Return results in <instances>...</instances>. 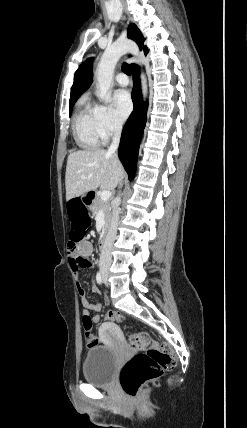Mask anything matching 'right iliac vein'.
Masks as SVG:
<instances>
[{"instance_id": "63e3f726", "label": "right iliac vein", "mask_w": 247, "mask_h": 428, "mask_svg": "<svg viewBox=\"0 0 247 428\" xmlns=\"http://www.w3.org/2000/svg\"><path fill=\"white\" fill-rule=\"evenodd\" d=\"M103 276L106 278V276H107V275H106V273H105V272H103Z\"/></svg>"}]
</instances>
